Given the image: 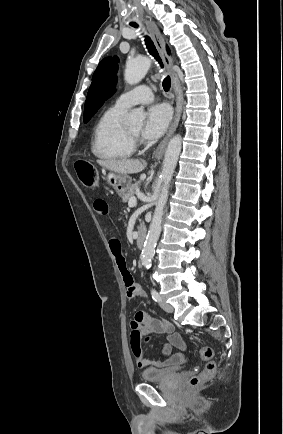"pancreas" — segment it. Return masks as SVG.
<instances>
[{"instance_id":"cf45deb5","label":"pancreas","mask_w":283,"mask_h":434,"mask_svg":"<svg viewBox=\"0 0 283 434\" xmlns=\"http://www.w3.org/2000/svg\"><path fill=\"white\" fill-rule=\"evenodd\" d=\"M138 184L139 183H135V184L131 185L128 192L122 197V200L124 203L128 202L130 198L134 197L135 190H136Z\"/></svg>"}]
</instances>
